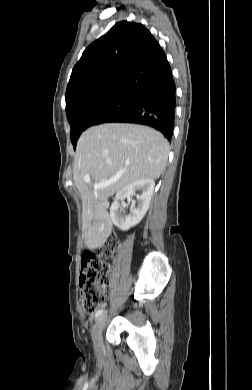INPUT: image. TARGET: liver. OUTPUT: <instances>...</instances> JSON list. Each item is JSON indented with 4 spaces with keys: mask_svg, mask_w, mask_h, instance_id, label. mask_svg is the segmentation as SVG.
Listing matches in <instances>:
<instances>
[{
    "mask_svg": "<svg viewBox=\"0 0 252 390\" xmlns=\"http://www.w3.org/2000/svg\"><path fill=\"white\" fill-rule=\"evenodd\" d=\"M168 153V141L147 126L108 123L83 132L77 144L73 179L82 198V229L87 248L103 245L112 231L108 198L132 182L159 178ZM85 175L93 181L85 182ZM114 178V183L94 189V183Z\"/></svg>",
    "mask_w": 252,
    "mask_h": 390,
    "instance_id": "liver-1",
    "label": "liver"
}]
</instances>
